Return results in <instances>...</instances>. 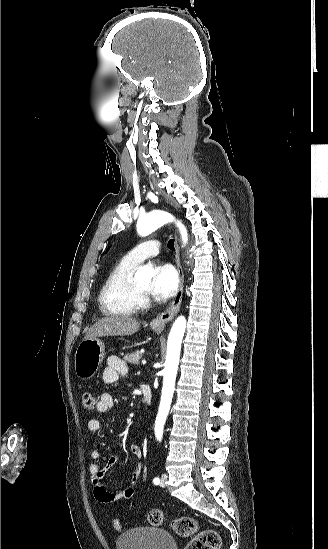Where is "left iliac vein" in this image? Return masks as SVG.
Returning a JSON list of instances; mask_svg holds the SVG:
<instances>
[{
  "mask_svg": "<svg viewBox=\"0 0 328 549\" xmlns=\"http://www.w3.org/2000/svg\"><path fill=\"white\" fill-rule=\"evenodd\" d=\"M166 479H167V475H166V474H163V475L161 476V480H160V486H161V487H165V485H166Z\"/></svg>",
  "mask_w": 328,
  "mask_h": 549,
  "instance_id": "1",
  "label": "left iliac vein"
}]
</instances>
